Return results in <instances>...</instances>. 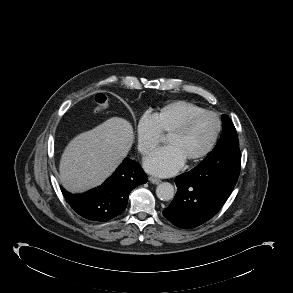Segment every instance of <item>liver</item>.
Returning a JSON list of instances; mask_svg holds the SVG:
<instances>
[{"mask_svg":"<svg viewBox=\"0 0 293 293\" xmlns=\"http://www.w3.org/2000/svg\"><path fill=\"white\" fill-rule=\"evenodd\" d=\"M133 141L131 123L120 117H112L77 135L60 160L61 184L72 193L100 185L127 156Z\"/></svg>","mask_w":293,"mask_h":293,"instance_id":"6515ba94","label":"liver"}]
</instances>
